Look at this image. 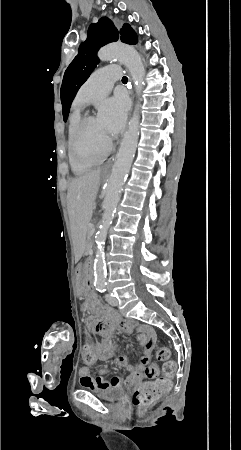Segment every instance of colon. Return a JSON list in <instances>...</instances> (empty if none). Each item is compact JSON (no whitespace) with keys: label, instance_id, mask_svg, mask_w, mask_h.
<instances>
[{"label":"colon","instance_id":"5ec220e1","mask_svg":"<svg viewBox=\"0 0 241 450\" xmlns=\"http://www.w3.org/2000/svg\"><path fill=\"white\" fill-rule=\"evenodd\" d=\"M95 350L96 349L91 344H86L84 346L82 356L84 357L85 366L97 365ZM169 354V349L166 347H161L158 350V358L160 360L168 359ZM162 368L167 376L161 377L153 382L145 383L134 392L132 404L135 409L146 410L151 408L160 399V397L168 391L169 381L167 378L172 375L176 367L174 362L170 360L164 364ZM158 373L159 369L156 364H150L144 371L146 378H154L158 375Z\"/></svg>","mask_w":241,"mask_h":450}]
</instances>
